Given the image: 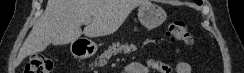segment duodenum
Segmentation results:
<instances>
[{
    "instance_id": "410a0bca",
    "label": "duodenum",
    "mask_w": 244,
    "mask_h": 73,
    "mask_svg": "<svg viewBox=\"0 0 244 73\" xmlns=\"http://www.w3.org/2000/svg\"><path fill=\"white\" fill-rule=\"evenodd\" d=\"M73 53L76 57L80 59H85L91 54V48L81 42H75L72 47Z\"/></svg>"
}]
</instances>
